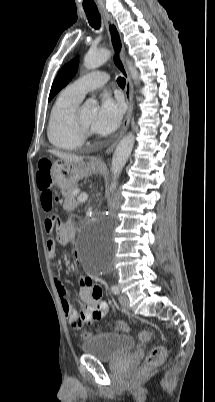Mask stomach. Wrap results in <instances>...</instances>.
I'll return each mask as SVG.
<instances>
[{
	"label": "stomach",
	"mask_w": 215,
	"mask_h": 402,
	"mask_svg": "<svg viewBox=\"0 0 215 402\" xmlns=\"http://www.w3.org/2000/svg\"><path fill=\"white\" fill-rule=\"evenodd\" d=\"M99 169L100 167L92 161L85 163L57 160L52 164L51 174L54 183L59 188L67 190L76 186L79 180L97 173Z\"/></svg>",
	"instance_id": "1"
}]
</instances>
